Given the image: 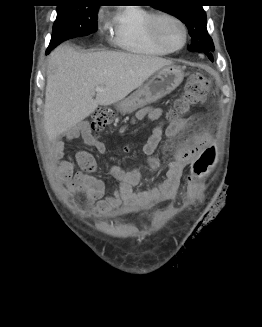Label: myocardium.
Returning a JSON list of instances; mask_svg holds the SVG:
<instances>
[{
	"label": "myocardium",
	"instance_id": "obj_1",
	"mask_svg": "<svg viewBox=\"0 0 262 327\" xmlns=\"http://www.w3.org/2000/svg\"><path fill=\"white\" fill-rule=\"evenodd\" d=\"M169 19L172 20L176 23H178L182 30H183V42L180 46L178 47H173L171 46L163 37L160 29V24L163 20ZM150 29L152 32L153 37L156 39V41L161 44L164 48L169 50L170 52H176L181 49H183L187 42H188V36H189V31L186 23L177 15L169 13V12H158L153 15L151 22H150Z\"/></svg>",
	"mask_w": 262,
	"mask_h": 327
}]
</instances>
